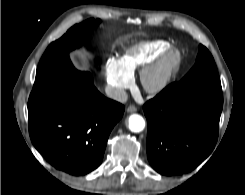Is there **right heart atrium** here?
Returning a JSON list of instances; mask_svg holds the SVG:
<instances>
[{
	"label": "right heart atrium",
	"instance_id": "right-heart-atrium-1",
	"mask_svg": "<svg viewBox=\"0 0 245 195\" xmlns=\"http://www.w3.org/2000/svg\"><path fill=\"white\" fill-rule=\"evenodd\" d=\"M104 73L112 95L116 99H121L124 96L125 90L131 86L132 77L113 58H109L106 61Z\"/></svg>",
	"mask_w": 245,
	"mask_h": 195
}]
</instances>
